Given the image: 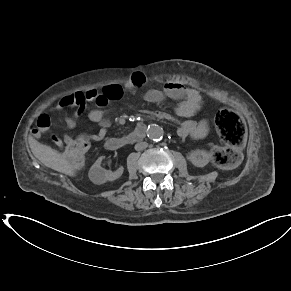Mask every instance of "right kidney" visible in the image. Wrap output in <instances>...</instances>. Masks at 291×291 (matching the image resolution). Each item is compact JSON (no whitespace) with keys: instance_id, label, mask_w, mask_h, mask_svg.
Listing matches in <instances>:
<instances>
[{"instance_id":"ca27d5eb","label":"right kidney","mask_w":291,"mask_h":291,"mask_svg":"<svg viewBox=\"0 0 291 291\" xmlns=\"http://www.w3.org/2000/svg\"><path fill=\"white\" fill-rule=\"evenodd\" d=\"M102 159L103 157H100L90 168L89 171L90 180L97 185L103 184L107 181H114L120 178L124 171L123 167H120L114 172L102 168L101 167Z\"/></svg>"}]
</instances>
